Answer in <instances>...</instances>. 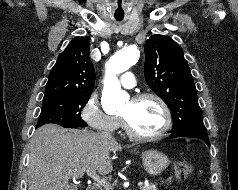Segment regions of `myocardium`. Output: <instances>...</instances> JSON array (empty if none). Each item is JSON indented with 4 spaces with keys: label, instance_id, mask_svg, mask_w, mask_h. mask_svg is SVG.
<instances>
[{
    "label": "myocardium",
    "instance_id": "obj_1",
    "mask_svg": "<svg viewBox=\"0 0 238 190\" xmlns=\"http://www.w3.org/2000/svg\"><path fill=\"white\" fill-rule=\"evenodd\" d=\"M147 99L155 101L160 106L163 112L164 123L161 129L157 131L156 133L149 134V135L138 133L131 127L128 120L125 117L120 115L121 123L125 132L131 138L139 140V141H153V140L160 139L169 131L172 124V115H171L170 108L168 107L167 103L159 95L150 93V92H142V93H137L133 95L131 98L133 102H139V101L147 100Z\"/></svg>",
    "mask_w": 238,
    "mask_h": 190
}]
</instances>
